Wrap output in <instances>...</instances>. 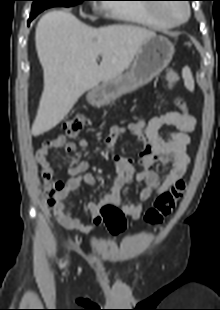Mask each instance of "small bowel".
I'll return each instance as SVG.
<instances>
[{
    "label": "small bowel",
    "instance_id": "1",
    "mask_svg": "<svg viewBox=\"0 0 220 310\" xmlns=\"http://www.w3.org/2000/svg\"><path fill=\"white\" fill-rule=\"evenodd\" d=\"M176 105L178 110L169 111L149 120L140 117L127 127L112 126L110 128L108 135L104 138V145L110 151L117 176L107 193L86 205L91 216L90 224H84L67 209L64 200L82 183L94 185L95 177L87 172L89 166L87 161H80L68 169L69 178L63 190L57 195L56 203L52 206L56 219L65 229L85 234L92 232L102 222L100 210L105 204L119 206L125 215L136 221L142 215L144 203L153 193L159 195L168 190L185 175L190 163L187 154L190 144L189 133L195 128V118L189 113L186 103L181 98L176 100ZM163 127L173 128L165 138L160 136V130ZM125 133L135 136L144 146L138 160L140 168H137L134 159L113 153L117 140ZM78 145L86 148L89 140L81 138ZM54 148L73 152L77 146L74 142L68 141L64 135H58L42 143L37 150L36 159L43 170L50 174H53V169L49 153ZM157 161L170 165L169 172L163 178H160L153 170V165ZM132 181L143 182L144 187L136 201L124 204L121 201V190Z\"/></svg>",
    "mask_w": 220,
    "mask_h": 310
}]
</instances>
